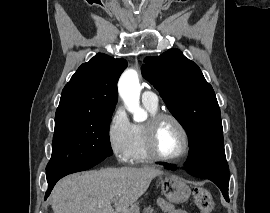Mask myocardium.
<instances>
[{"mask_svg":"<svg viewBox=\"0 0 270 213\" xmlns=\"http://www.w3.org/2000/svg\"><path fill=\"white\" fill-rule=\"evenodd\" d=\"M164 120L173 121L177 125V127L179 128V130L181 131L183 135V139H184L183 151L179 155L174 156V157H167V156L162 155L156 147V132L159 125ZM144 142H145V147L149 156L152 159L158 160V161L169 162V163L179 162L185 159L189 155V152H190V136L185 125L182 123V121L178 117L167 112H157L150 116L148 121L144 124Z\"/></svg>","mask_w":270,"mask_h":213,"instance_id":"obj_1","label":"myocardium"}]
</instances>
